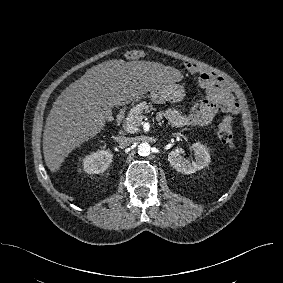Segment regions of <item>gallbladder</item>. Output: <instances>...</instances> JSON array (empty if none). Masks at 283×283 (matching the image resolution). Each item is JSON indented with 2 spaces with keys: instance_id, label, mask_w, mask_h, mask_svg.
I'll return each instance as SVG.
<instances>
[{
  "instance_id": "gallbladder-1",
  "label": "gallbladder",
  "mask_w": 283,
  "mask_h": 283,
  "mask_svg": "<svg viewBox=\"0 0 283 283\" xmlns=\"http://www.w3.org/2000/svg\"><path fill=\"white\" fill-rule=\"evenodd\" d=\"M105 111H106V118H110L112 116V112L109 108H105Z\"/></svg>"
}]
</instances>
